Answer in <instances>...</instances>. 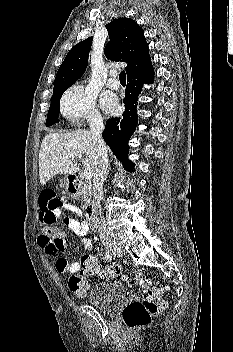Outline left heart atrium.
<instances>
[{"label": "left heart atrium", "mask_w": 233, "mask_h": 352, "mask_svg": "<svg viewBox=\"0 0 233 352\" xmlns=\"http://www.w3.org/2000/svg\"><path fill=\"white\" fill-rule=\"evenodd\" d=\"M103 106L108 111H114L116 108V100L113 96L107 95L103 98Z\"/></svg>", "instance_id": "1"}]
</instances>
